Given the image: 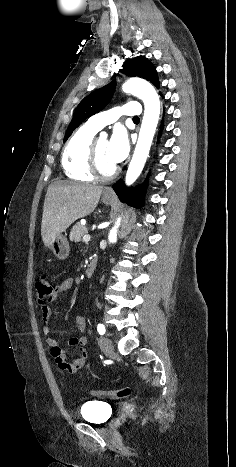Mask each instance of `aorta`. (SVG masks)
I'll use <instances>...</instances> for the list:
<instances>
[{
  "mask_svg": "<svg viewBox=\"0 0 236 467\" xmlns=\"http://www.w3.org/2000/svg\"><path fill=\"white\" fill-rule=\"evenodd\" d=\"M122 90L125 93H131L139 97L144 102L145 107L138 141L125 177V183L132 185L141 174L149 155L159 120L160 100L154 87L149 82L140 78L127 80L122 85ZM120 222L121 218H118L115 226L110 230L108 237L110 243L117 240V229L120 226Z\"/></svg>",
  "mask_w": 236,
  "mask_h": 467,
  "instance_id": "762f6f07",
  "label": "aorta"
}]
</instances>
